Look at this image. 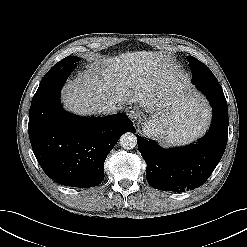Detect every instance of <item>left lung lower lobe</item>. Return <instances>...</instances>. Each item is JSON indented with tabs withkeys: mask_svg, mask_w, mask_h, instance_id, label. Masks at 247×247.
<instances>
[{
	"mask_svg": "<svg viewBox=\"0 0 247 247\" xmlns=\"http://www.w3.org/2000/svg\"><path fill=\"white\" fill-rule=\"evenodd\" d=\"M191 81L212 106V125L207 134L193 144L173 149H163L137 135L138 149L147 164V181L159 190L185 192L200 187L225 151L229 119L222 87L205 64L192 71Z\"/></svg>",
	"mask_w": 247,
	"mask_h": 247,
	"instance_id": "0a47b994",
	"label": "left lung lower lobe"
}]
</instances>
